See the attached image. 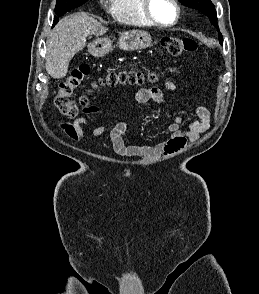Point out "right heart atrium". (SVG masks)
I'll return each instance as SVG.
<instances>
[{
	"instance_id": "right-heart-atrium-1",
	"label": "right heart atrium",
	"mask_w": 259,
	"mask_h": 294,
	"mask_svg": "<svg viewBox=\"0 0 259 294\" xmlns=\"http://www.w3.org/2000/svg\"><path fill=\"white\" fill-rule=\"evenodd\" d=\"M102 1V3H106V0H101Z\"/></svg>"
}]
</instances>
